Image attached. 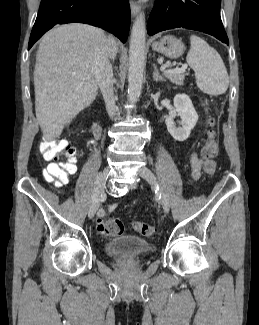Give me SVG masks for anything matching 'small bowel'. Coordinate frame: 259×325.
Here are the masks:
<instances>
[{
  "mask_svg": "<svg viewBox=\"0 0 259 325\" xmlns=\"http://www.w3.org/2000/svg\"><path fill=\"white\" fill-rule=\"evenodd\" d=\"M202 165H203V161L200 158H198V156L195 153H192L190 156V169H191V175L194 179H198L200 177ZM46 168L44 169L43 173H45ZM96 227L100 233H105V211L103 209L99 210L98 212Z\"/></svg>",
  "mask_w": 259,
  "mask_h": 325,
  "instance_id": "small-bowel-1",
  "label": "small bowel"
}]
</instances>
